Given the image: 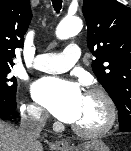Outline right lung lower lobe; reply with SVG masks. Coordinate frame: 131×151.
Masks as SVG:
<instances>
[{"label": "right lung lower lobe", "mask_w": 131, "mask_h": 151, "mask_svg": "<svg viewBox=\"0 0 131 151\" xmlns=\"http://www.w3.org/2000/svg\"><path fill=\"white\" fill-rule=\"evenodd\" d=\"M16 110V100L8 101L0 99V118H5L9 116Z\"/></svg>", "instance_id": "1"}]
</instances>
